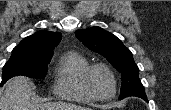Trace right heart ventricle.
<instances>
[{"label":"right heart ventricle","mask_w":171,"mask_h":110,"mask_svg":"<svg viewBox=\"0 0 171 110\" xmlns=\"http://www.w3.org/2000/svg\"><path fill=\"white\" fill-rule=\"evenodd\" d=\"M89 66L87 58L79 52H66L56 70L54 94L61 99L80 103L93 101L83 85V74Z\"/></svg>","instance_id":"obj_1"}]
</instances>
